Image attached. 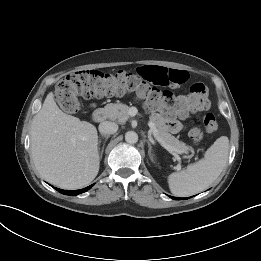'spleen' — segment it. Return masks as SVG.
I'll list each match as a JSON object with an SVG mask.
<instances>
[{
  "label": "spleen",
  "mask_w": 261,
  "mask_h": 261,
  "mask_svg": "<svg viewBox=\"0 0 261 261\" xmlns=\"http://www.w3.org/2000/svg\"><path fill=\"white\" fill-rule=\"evenodd\" d=\"M229 154V139L219 137L205 152L204 158L190 164L185 170L168 176L172 194L186 197L208 188L224 169Z\"/></svg>",
  "instance_id": "1"
}]
</instances>
